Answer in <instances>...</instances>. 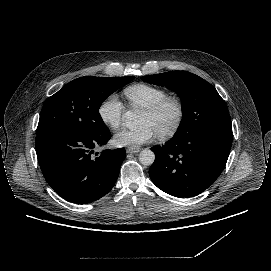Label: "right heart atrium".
Listing matches in <instances>:
<instances>
[{"instance_id":"1","label":"right heart atrium","mask_w":271,"mask_h":271,"mask_svg":"<svg viewBox=\"0 0 271 271\" xmlns=\"http://www.w3.org/2000/svg\"><path fill=\"white\" fill-rule=\"evenodd\" d=\"M124 106L116 93L109 94L97 108V114L102 123L112 131H116L122 124Z\"/></svg>"}]
</instances>
